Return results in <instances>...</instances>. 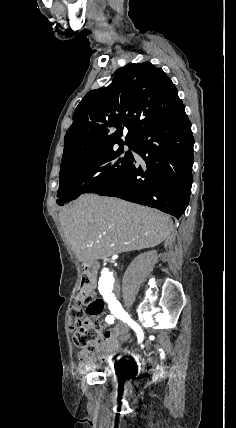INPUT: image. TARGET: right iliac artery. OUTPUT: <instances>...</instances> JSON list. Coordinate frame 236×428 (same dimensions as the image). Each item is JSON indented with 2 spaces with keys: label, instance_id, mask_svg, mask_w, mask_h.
<instances>
[{
  "label": "right iliac artery",
  "instance_id": "obj_1",
  "mask_svg": "<svg viewBox=\"0 0 236 428\" xmlns=\"http://www.w3.org/2000/svg\"><path fill=\"white\" fill-rule=\"evenodd\" d=\"M104 300L108 303L109 310L117 318L127 323L136 333L138 337V343H141L144 339V333L141 327L133 321L127 312L122 308L120 302L116 300L114 293L103 292L101 293Z\"/></svg>",
  "mask_w": 236,
  "mask_h": 428
}]
</instances>
